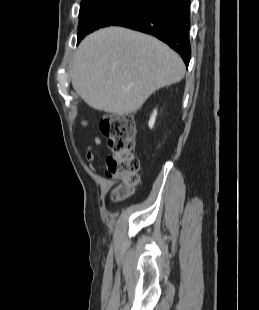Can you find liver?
<instances>
[{
	"instance_id": "6515ba94",
	"label": "liver",
	"mask_w": 259,
	"mask_h": 310,
	"mask_svg": "<svg viewBox=\"0 0 259 310\" xmlns=\"http://www.w3.org/2000/svg\"><path fill=\"white\" fill-rule=\"evenodd\" d=\"M185 70L180 56L155 37L108 27L82 40L71 81L90 107L127 115L158 89L180 82Z\"/></svg>"
}]
</instances>
